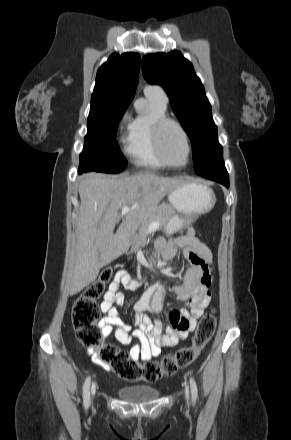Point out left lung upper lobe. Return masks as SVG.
<instances>
[{"label": "left lung upper lobe", "instance_id": "1", "mask_svg": "<svg viewBox=\"0 0 291 440\" xmlns=\"http://www.w3.org/2000/svg\"><path fill=\"white\" fill-rule=\"evenodd\" d=\"M142 72L149 84L161 85L170 97L171 107L190 137L195 172L222 160L211 105L192 64L180 51L149 54L142 59Z\"/></svg>", "mask_w": 291, "mask_h": 440}]
</instances>
